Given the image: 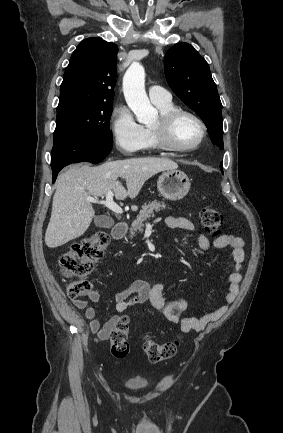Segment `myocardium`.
Masks as SVG:
<instances>
[{"label":"myocardium","mask_w":283,"mask_h":433,"mask_svg":"<svg viewBox=\"0 0 283 433\" xmlns=\"http://www.w3.org/2000/svg\"><path fill=\"white\" fill-rule=\"evenodd\" d=\"M182 116L193 118L201 129L199 138L192 144L184 147L178 145L174 139L175 125L178 119ZM152 128L156 134L159 148L172 153H187L194 151L204 142L208 133V128L204 120L195 112L183 108H175L161 115Z\"/></svg>","instance_id":"myocardium-1"}]
</instances>
